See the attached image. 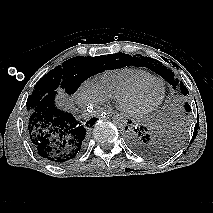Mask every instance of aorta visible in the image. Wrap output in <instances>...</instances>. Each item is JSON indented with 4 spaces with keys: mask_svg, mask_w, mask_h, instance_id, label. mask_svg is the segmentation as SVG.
I'll return each instance as SVG.
<instances>
[{
    "mask_svg": "<svg viewBox=\"0 0 213 213\" xmlns=\"http://www.w3.org/2000/svg\"><path fill=\"white\" fill-rule=\"evenodd\" d=\"M113 124L121 130H124L128 126V119L123 114H117L113 116Z\"/></svg>",
    "mask_w": 213,
    "mask_h": 213,
    "instance_id": "762f6f07",
    "label": "aorta"
}]
</instances>
